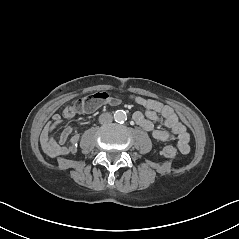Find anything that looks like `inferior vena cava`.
<instances>
[{
    "label": "inferior vena cava",
    "instance_id": "1",
    "mask_svg": "<svg viewBox=\"0 0 239 239\" xmlns=\"http://www.w3.org/2000/svg\"><path fill=\"white\" fill-rule=\"evenodd\" d=\"M113 120L112 115L110 113H102L99 116V123L100 124H109Z\"/></svg>",
    "mask_w": 239,
    "mask_h": 239
}]
</instances>
